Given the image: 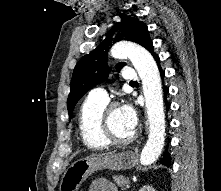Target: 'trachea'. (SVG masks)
Segmentation results:
<instances>
[{
  "instance_id": "obj_1",
  "label": "trachea",
  "mask_w": 221,
  "mask_h": 191,
  "mask_svg": "<svg viewBox=\"0 0 221 191\" xmlns=\"http://www.w3.org/2000/svg\"><path fill=\"white\" fill-rule=\"evenodd\" d=\"M130 84H136V82H130Z\"/></svg>"
}]
</instances>
